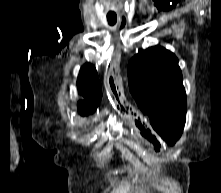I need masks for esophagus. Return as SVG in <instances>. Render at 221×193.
Instances as JSON below:
<instances>
[{
  "instance_id": "esophagus-1",
  "label": "esophagus",
  "mask_w": 221,
  "mask_h": 193,
  "mask_svg": "<svg viewBox=\"0 0 221 193\" xmlns=\"http://www.w3.org/2000/svg\"><path fill=\"white\" fill-rule=\"evenodd\" d=\"M124 25H125V20L122 21V26H124ZM125 26H126V25H125Z\"/></svg>"
}]
</instances>
